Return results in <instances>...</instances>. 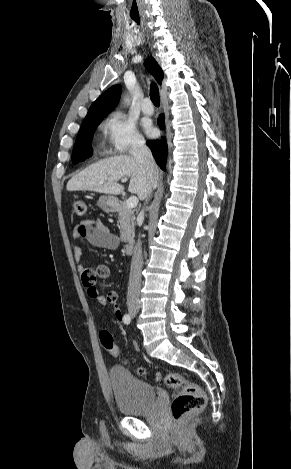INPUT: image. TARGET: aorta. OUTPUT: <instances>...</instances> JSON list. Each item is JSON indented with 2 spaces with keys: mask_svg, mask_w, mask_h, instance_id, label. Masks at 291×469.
Masks as SVG:
<instances>
[{
  "mask_svg": "<svg viewBox=\"0 0 291 469\" xmlns=\"http://www.w3.org/2000/svg\"><path fill=\"white\" fill-rule=\"evenodd\" d=\"M125 103L129 104V99L128 98L125 99Z\"/></svg>",
  "mask_w": 291,
  "mask_h": 469,
  "instance_id": "aorta-1",
  "label": "aorta"
}]
</instances>
